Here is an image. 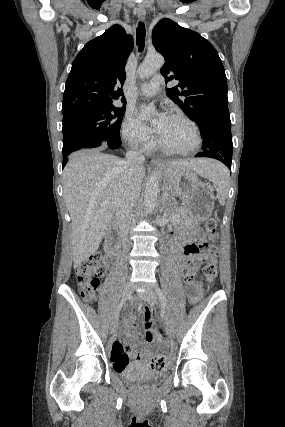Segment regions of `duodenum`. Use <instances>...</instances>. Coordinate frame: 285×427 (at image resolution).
Wrapping results in <instances>:
<instances>
[{
  "instance_id": "410a0bca",
  "label": "duodenum",
  "mask_w": 285,
  "mask_h": 427,
  "mask_svg": "<svg viewBox=\"0 0 285 427\" xmlns=\"http://www.w3.org/2000/svg\"><path fill=\"white\" fill-rule=\"evenodd\" d=\"M120 222H121V219H120V217H118L116 219V221L114 222V225H113L114 229L118 230V228L120 226ZM111 245H112V255L115 256L119 252V250L121 248V244L119 242V238L118 237L113 238Z\"/></svg>"
}]
</instances>
